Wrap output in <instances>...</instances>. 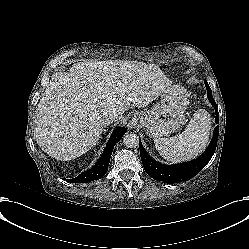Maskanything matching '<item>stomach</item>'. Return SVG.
Instances as JSON below:
<instances>
[{
	"instance_id": "0dacf381",
	"label": "stomach",
	"mask_w": 249,
	"mask_h": 249,
	"mask_svg": "<svg viewBox=\"0 0 249 249\" xmlns=\"http://www.w3.org/2000/svg\"><path fill=\"white\" fill-rule=\"evenodd\" d=\"M188 100L182 87L166 88L161 100L150 110L136 111L133 119L146 129L151 138L168 136L180 130L185 122Z\"/></svg>"
}]
</instances>
